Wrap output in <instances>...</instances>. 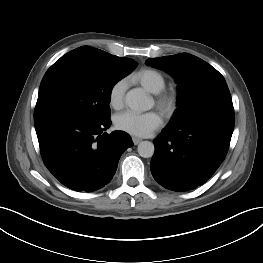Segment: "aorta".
<instances>
[{
    "label": "aorta",
    "mask_w": 263,
    "mask_h": 263,
    "mask_svg": "<svg viewBox=\"0 0 263 263\" xmlns=\"http://www.w3.org/2000/svg\"><path fill=\"white\" fill-rule=\"evenodd\" d=\"M126 105L134 111L143 112L150 109L151 102L147 95L140 89H132L127 92L125 97ZM138 153L143 158H150L153 156L155 148L150 141H142L138 145Z\"/></svg>",
    "instance_id": "obj_1"
}]
</instances>
